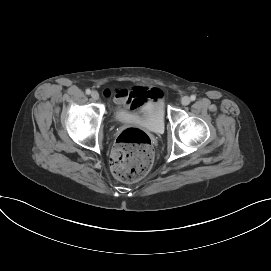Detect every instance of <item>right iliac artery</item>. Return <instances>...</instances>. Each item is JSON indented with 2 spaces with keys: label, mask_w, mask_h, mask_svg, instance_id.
<instances>
[{
  "label": "right iliac artery",
  "mask_w": 271,
  "mask_h": 271,
  "mask_svg": "<svg viewBox=\"0 0 271 271\" xmlns=\"http://www.w3.org/2000/svg\"><path fill=\"white\" fill-rule=\"evenodd\" d=\"M86 94H87V95L91 94V90H90V89H87V90H86Z\"/></svg>",
  "instance_id": "obj_1"
}]
</instances>
